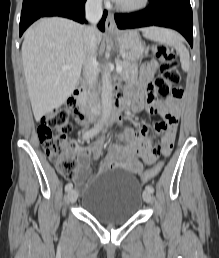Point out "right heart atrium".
I'll return each instance as SVG.
<instances>
[{
  "mask_svg": "<svg viewBox=\"0 0 219 258\" xmlns=\"http://www.w3.org/2000/svg\"><path fill=\"white\" fill-rule=\"evenodd\" d=\"M93 5H100L103 0H88Z\"/></svg>",
  "mask_w": 219,
  "mask_h": 258,
  "instance_id": "right-heart-atrium-1",
  "label": "right heart atrium"
}]
</instances>
